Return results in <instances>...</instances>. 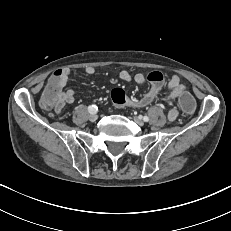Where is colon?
Instances as JSON below:
<instances>
[{"instance_id":"1","label":"colon","mask_w":231,"mask_h":231,"mask_svg":"<svg viewBox=\"0 0 231 231\" xmlns=\"http://www.w3.org/2000/svg\"><path fill=\"white\" fill-rule=\"evenodd\" d=\"M63 73L60 68H53L47 71L46 91L42 93V104L45 107H52L57 99V93L59 89V81L62 78ZM179 97V107L183 110L184 115L192 116L196 110V101L192 95L185 88H180L177 91ZM111 98L115 105L122 106L126 104L127 95L119 88L114 89L111 92Z\"/></svg>"}]
</instances>
